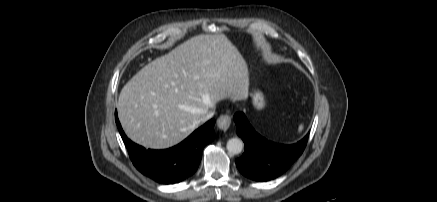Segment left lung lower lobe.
I'll return each instance as SVG.
<instances>
[{"label": "left lung lower lobe", "instance_id": "left-lung-lower-lobe-1", "mask_svg": "<svg viewBox=\"0 0 437 202\" xmlns=\"http://www.w3.org/2000/svg\"><path fill=\"white\" fill-rule=\"evenodd\" d=\"M236 132L245 144V152L236 159L238 170L255 181H269L283 174L303 153L309 133L299 142L282 145L260 136L242 112L234 115Z\"/></svg>", "mask_w": 437, "mask_h": 202}]
</instances>
